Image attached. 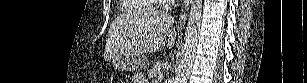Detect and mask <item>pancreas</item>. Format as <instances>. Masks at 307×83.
<instances>
[{
  "label": "pancreas",
  "instance_id": "cf45deb5",
  "mask_svg": "<svg viewBox=\"0 0 307 83\" xmlns=\"http://www.w3.org/2000/svg\"><path fill=\"white\" fill-rule=\"evenodd\" d=\"M160 69H161L160 65L153 66L150 70H148L147 74L150 78H154L159 73H161Z\"/></svg>",
  "mask_w": 307,
  "mask_h": 83
}]
</instances>
